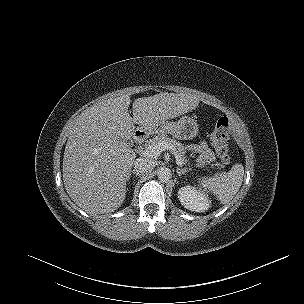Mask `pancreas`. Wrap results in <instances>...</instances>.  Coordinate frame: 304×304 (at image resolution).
Here are the masks:
<instances>
[{"instance_id": "1", "label": "pancreas", "mask_w": 304, "mask_h": 304, "mask_svg": "<svg viewBox=\"0 0 304 304\" xmlns=\"http://www.w3.org/2000/svg\"><path fill=\"white\" fill-rule=\"evenodd\" d=\"M161 142H164L168 145V149L171 150V152L173 154H176L178 155L180 161L182 162V164H186L187 163V160H186V156H185V147L180 143V142H177L176 140L174 139H171L169 138L167 135L165 134H162L160 136H156L154 137L153 139H151L148 144L150 146H153L155 144H158V143H161ZM216 166H222L221 164H215Z\"/></svg>"}]
</instances>
